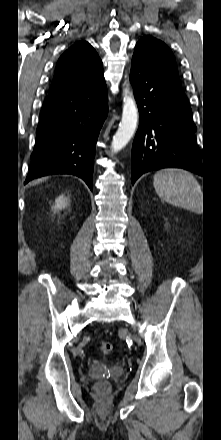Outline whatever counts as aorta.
Instances as JSON below:
<instances>
[{"label":"aorta","mask_w":221,"mask_h":440,"mask_svg":"<svg viewBox=\"0 0 221 440\" xmlns=\"http://www.w3.org/2000/svg\"><path fill=\"white\" fill-rule=\"evenodd\" d=\"M138 123V109L128 88L124 90L123 112L119 127L113 136L112 151L118 152L124 148L133 137Z\"/></svg>","instance_id":"obj_1"}]
</instances>
